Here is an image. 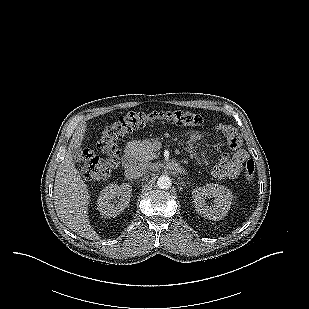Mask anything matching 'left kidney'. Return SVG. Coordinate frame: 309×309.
<instances>
[{
    "label": "left kidney",
    "mask_w": 309,
    "mask_h": 309,
    "mask_svg": "<svg viewBox=\"0 0 309 309\" xmlns=\"http://www.w3.org/2000/svg\"><path fill=\"white\" fill-rule=\"evenodd\" d=\"M207 196L215 198L213 208L206 204L205 197ZM232 197V192L229 189L213 183L206 184L192 191V198L197 213L214 221L220 220L227 215L232 204Z\"/></svg>",
    "instance_id": "left-kidney-1"
}]
</instances>
